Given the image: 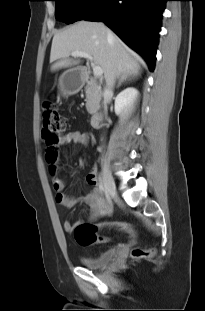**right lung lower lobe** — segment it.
Instances as JSON below:
<instances>
[{
  "mask_svg": "<svg viewBox=\"0 0 205 311\" xmlns=\"http://www.w3.org/2000/svg\"><path fill=\"white\" fill-rule=\"evenodd\" d=\"M167 0H103L82 20L104 22L154 69L160 19Z\"/></svg>",
  "mask_w": 205,
  "mask_h": 311,
  "instance_id": "98d812e1",
  "label": "right lung lower lobe"
}]
</instances>
